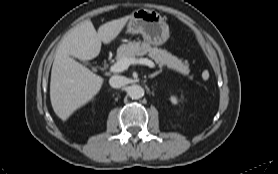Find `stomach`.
<instances>
[{
	"instance_id": "stomach-1",
	"label": "stomach",
	"mask_w": 278,
	"mask_h": 174,
	"mask_svg": "<svg viewBox=\"0 0 278 174\" xmlns=\"http://www.w3.org/2000/svg\"><path fill=\"white\" fill-rule=\"evenodd\" d=\"M127 32L140 33L144 40L155 46L164 44L169 38V26L165 19L156 11L138 9L131 14Z\"/></svg>"
}]
</instances>
